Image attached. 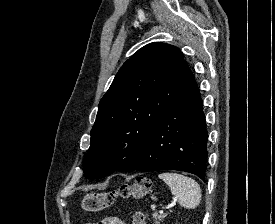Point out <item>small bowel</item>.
Here are the masks:
<instances>
[{"mask_svg": "<svg viewBox=\"0 0 275 224\" xmlns=\"http://www.w3.org/2000/svg\"><path fill=\"white\" fill-rule=\"evenodd\" d=\"M88 224H124L123 221H121L119 218L117 217H107L102 221L99 222H95V223H88Z\"/></svg>", "mask_w": 275, "mask_h": 224, "instance_id": "obj_1", "label": "small bowel"}]
</instances>
